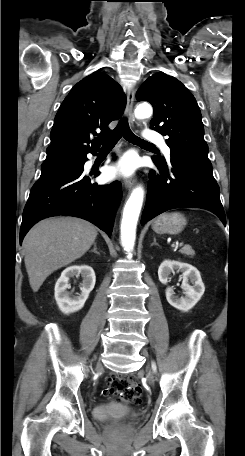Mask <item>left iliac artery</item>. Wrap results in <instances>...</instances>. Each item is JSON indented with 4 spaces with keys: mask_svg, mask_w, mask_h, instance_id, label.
I'll use <instances>...</instances> for the list:
<instances>
[{
    "mask_svg": "<svg viewBox=\"0 0 245 456\" xmlns=\"http://www.w3.org/2000/svg\"><path fill=\"white\" fill-rule=\"evenodd\" d=\"M153 368H154V370H156V366H155V364H153Z\"/></svg>",
    "mask_w": 245,
    "mask_h": 456,
    "instance_id": "left-iliac-artery-1",
    "label": "left iliac artery"
}]
</instances>
